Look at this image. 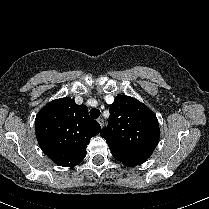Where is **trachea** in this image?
<instances>
[{
    "instance_id": "1",
    "label": "trachea",
    "mask_w": 209,
    "mask_h": 209,
    "mask_svg": "<svg viewBox=\"0 0 209 209\" xmlns=\"http://www.w3.org/2000/svg\"><path fill=\"white\" fill-rule=\"evenodd\" d=\"M90 116L93 119H97L100 116V110L99 109H96V108L91 109L90 110Z\"/></svg>"
}]
</instances>
